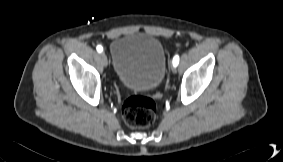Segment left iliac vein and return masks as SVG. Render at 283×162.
Listing matches in <instances>:
<instances>
[{
    "label": "left iliac vein",
    "instance_id": "1",
    "mask_svg": "<svg viewBox=\"0 0 283 162\" xmlns=\"http://www.w3.org/2000/svg\"><path fill=\"white\" fill-rule=\"evenodd\" d=\"M176 71H177L176 67L173 66V67H172V72H173V73H176Z\"/></svg>",
    "mask_w": 283,
    "mask_h": 162
}]
</instances>
